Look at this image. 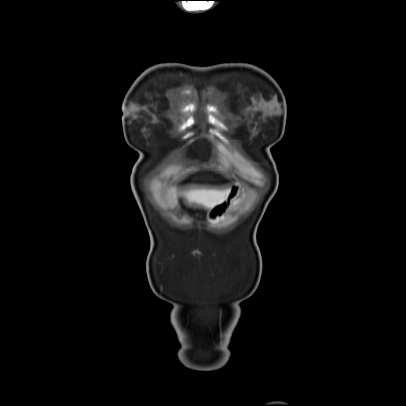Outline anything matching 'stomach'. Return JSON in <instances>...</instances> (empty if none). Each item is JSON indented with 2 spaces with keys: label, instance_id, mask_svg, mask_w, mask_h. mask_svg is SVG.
<instances>
[{
  "label": "stomach",
  "instance_id": "stomach-1",
  "mask_svg": "<svg viewBox=\"0 0 406 406\" xmlns=\"http://www.w3.org/2000/svg\"><path fill=\"white\" fill-rule=\"evenodd\" d=\"M242 189L240 184H235L228 190V195L225 200L214 205L208 212V220L216 223L221 221L225 215L235 206L238 205Z\"/></svg>",
  "mask_w": 406,
  "mask_h": 406
}]
</instances>
